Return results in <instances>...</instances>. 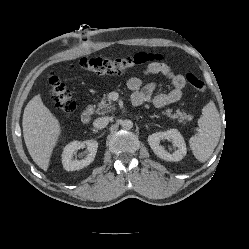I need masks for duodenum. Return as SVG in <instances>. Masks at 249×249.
Wrapping results in <instances>:
<instances>
[{
    "instance_id": "410a0bca",
    "label": "duodenum",
    "mask_w": 249,
    "mask_h": 249,
    "mask_svg": "<svg viewBox=\"0 0 249 249\" xmlns=\"http://www.w3.org/2000/svg\"><path fill=\"white\" fill-rule=\"evenodd\" d=\"M93 115V110L90 108L85 109L81 114V120L83 123H89Z\"/></svg>"
}]
</instances>
